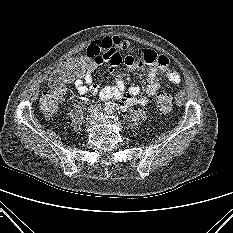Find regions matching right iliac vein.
Here are the masks:
<instances>
[{"instance_id": "right-iliac-vein-1", "label": "right iliac vein", "mask_w": 233, "mask_h": 233, "mask_svg": "<svg viewBox=\"0 0 233 233\" xmlns=\"http://www.w3.org/2000/svg\"><path fill=\"white\" fill-rule=\"evenodd\" d=\"M95 116H96L95 110L90 109V110L88 111L87 116H86V121H85L86 124H90V123L92 122V120L95 118Z\"/></svg>"}]
</instances>
